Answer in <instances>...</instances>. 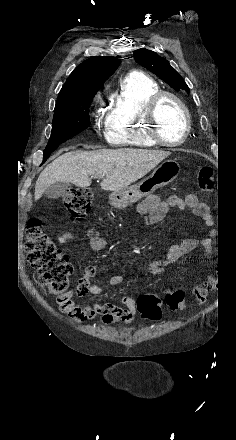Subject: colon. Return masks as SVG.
<instances>
[{
	"label": "colon",
	"instance_id": "5ec220e1",
	"mask_svg": "<svg viewBox=\"0 0 236 440\" xmlns=\"http://www.w3.org/2000/svg\"><path fill=\"white\" fill-rule=\"evenodd\" d=\"M198 185L202 191L213 188V171L209 166H199L197 170ZM92 193L88 189L70 188L63 196L65 208L76 221H81L89 213ZM25 250L28 263L35 269L41 287L54 295L61 308L72 300L69 288V276L73 270L67 255L56 245L52 238L43 232L38 219H30L27 225ZM223 274L203 276V285H221ZM209 286H197L193 290V301L196 305L206 302ZM164 302L172 312L187 308L185 293L181 289L168 291ZM137 310L144 319L159 321L162 318L161 299L152 294H143L136 301Z\"/></svg>",
	"mask_w": 236,
	"mask_h": 440
}]
</instances>
